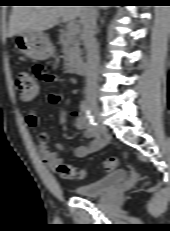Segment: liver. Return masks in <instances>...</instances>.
<instances>
[{
	"instance_id": "1",
	"label": "liver",
	"mask_w": 170,
	"mask_h": 231,
	"mask_svg": "<svg viewBox=\"0 0 170 231\" xmlns=\"http://www.w3.org/2000/svg\"><path fill=\"white\" fill-rule=\"evenodd\" d=\"M82 6H14L9 20L8 37L23 31H45L81 16Z\"/></svg>"
}]
</instances>
